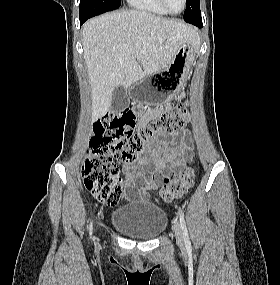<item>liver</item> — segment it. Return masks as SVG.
I'll return each instance as SVG.
<instances>
[{
    "label": "liver",
    "instance_id": "6515ba94",
    "mask_svg": "<svg viewBox=\"0 0 280 285\" xmlns=\"http://www.w3.org/2000/svg\"><path fill=\"white\" fill-rule=\"evenodd\" d=\"M82 36L92 121L109 111L115 87L128 89L145 76L162 71L183 43L195 46L199 41L192 26L142 10L92 18L83 25Z\"/></svg>",
    "mask_w": 280,
    "mask_h": 285
}]
</instances>
